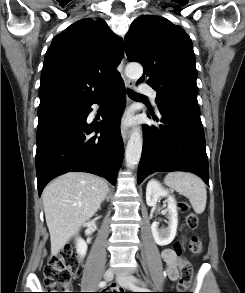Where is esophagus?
<instances>
[{
  "mask_svg": "<svg viewBox=\"0 0 245 293\" xmlns=\"http://www.w3.org/2000/svg\"><path fill=\"white\" fill-rule=\"evenodd\" d=\"M124 64H125V58L122 60V62H121V64H120V68H121V70H120V72H121V76H122V78H123V80H124L125 86H126L127 88H132L134 82H133L132 80L128 79V78L125 76V74H124V70H123V68H124ZM129 135H130V132H129L128 129H123V130H122V139H123V142H124V143H126V141L128 140Z\"/></svg>",
  "mask_w": 245,
  "mask_h": 293,
  "instance_id": "34e87169",
  "label": "esophagus"
}]
</instances>
